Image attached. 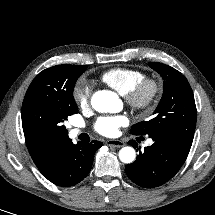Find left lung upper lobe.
<instances>
[{
  "label": "left lung upper lobe",
  "mask_w": 215,
  "mask_h": 215,
  "mask_svg": "<svg viewBox=\"0 0 215 215\" xmlns=\"http://www.w3.org/2000/svg\"><path fill=\"white\" fill-rule=\"evenodd\" d=\"M164 80L163 96L149 121L132 126L133 135L167 136L191 147L196 126V105L188 80L176 69L158 62L150 63Z\"/></svg>",
  "instance_id": "5c2ea615"
}]
</instances>
